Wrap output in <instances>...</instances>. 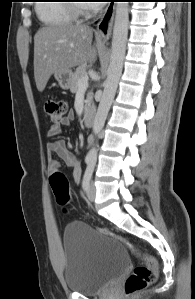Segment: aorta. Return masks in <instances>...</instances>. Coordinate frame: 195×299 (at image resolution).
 Wrapping results in <instances>:
<instances>
[{
	"label": "aorta",
	"mask_w": 195,
	"mask_h": 299,
	"mask_svg": "<svg viewBox=\"0 0 195 299\" xmlns=\"http://www.w3.org/2000/svg\"><path fill=\"white\" fill-rule=\"evenodd\" d=\"M129 24L128 2H117L113 27L112 52L107 71V79L93 122V134L98 135L104 127L108 112L115 97L118 83L122 74L123 62L126 52V43ZM87 161L96 162L97 149L91 148L86 157Z\"/></svg>",
	"instance_id": "obj_1"
}]
</instances>
